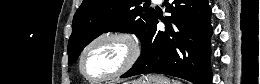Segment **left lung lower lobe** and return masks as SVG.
<instances>
[{
	"instance_id": "1",
	"label": "left lung lower lobe",
	"mask_w": 260,
	"mask_h": 84,
	"mask_svg": "<svg viewBox=\"0 0 260 84\" xmlns=\"http://www.w3.org/2000/svg\"><path fill=\"white\" fill-rule=\"evenodd\" d=\"M171 13L165 31H157L155 16L142 53L122 78L143 73L180 77L194 84H210L211 8L208 0H174L164 3Z\"/></svg>"
}]
</instances>
